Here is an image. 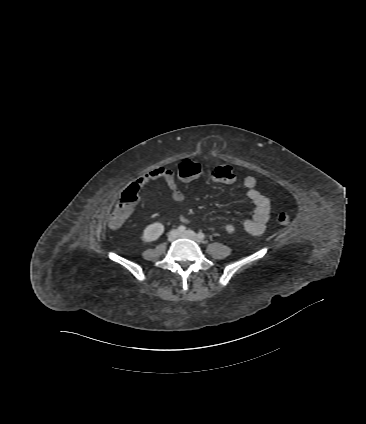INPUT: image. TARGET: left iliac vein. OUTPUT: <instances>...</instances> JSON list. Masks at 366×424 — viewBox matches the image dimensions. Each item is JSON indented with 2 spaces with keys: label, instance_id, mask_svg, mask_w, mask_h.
Masks as SVG:
<instances>
[{
  "label": "left iliac vein",
  "instance_id": "1",
  "mask_svg": "<svg viewBox=\"0 0 366 424\" xmlns=\"http://www.w3.org/2000/svg\"><path fill=\"white\" fill-rule=\"evenodd\" d=\"M179 236L184 237V238H188V239H192V240L196 241L197 243L201 242V240L198 238L196 233L192 230L180 232Z\"/></svg>",
  "mask_w": 366,
  "mask_h": 424
}]
</instances>
